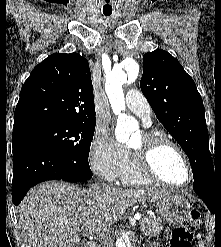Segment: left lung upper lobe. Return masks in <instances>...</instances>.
<instances>
[{
  "mask_svg": "<svg viewBox=\"0 0 221 247\" xmlns=\"http://www.w3.org/2000/svg\"><path fill=\"white\" fill-rule=\"evenodd\" d=\"M141 91L158 120L187 154L193 178L214 170L201 95L181 64L164 50L143 56Z\"/></svg>",
  "mask_w": 221,
  "mask_h": 247,
  "instance_id": "obj_1",
  "label": "left lung upper lobe"
}]
</instances>
